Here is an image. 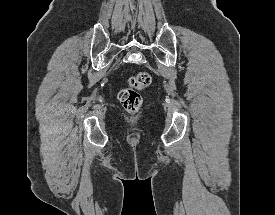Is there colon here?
Masks as SVG:
<instances>
[{
	"label": "colon",
	"mask_w": 275,
	"mask_h": 215,
	"mask_svg": "<svg viewBox=\"0 0 275 215\" xmlns=\"http://www.w3.org/2000/svg\"><path fill=\"white\" fill-rule=\"evenodd\" d=\"M151 82V74L146 71H141L131 76L126 86L120 89L118 99L128 113L134 114L140 109L142 97L139 91L148 87Z\"/></svg>",
	"instance_id": "5ec220e1"
}]
</instances>
